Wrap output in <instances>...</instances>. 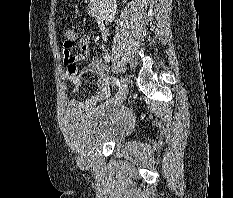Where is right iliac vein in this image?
I'll return each mask as SVG.
<instances>
[{"mask_svg": "<svg viewBox=\"0 0 233 198\" xmlns=\"http://www.w3.org/2000/svg\"><path fill=\"white\" fill-rule=\"evenodd\" d=\"M127 92H128L127 83H126L125 79L122 78L121 79V84H120V87H119V91H118V94H117V96L115 98L114 104L115 105H120L124 101V99L126 98Z\"/></svg>", "mask_w": 233, "mask_h": 198, "instance_id": "right-iliac-vein-1", "label": "right iliac vein"}]
</instances>
